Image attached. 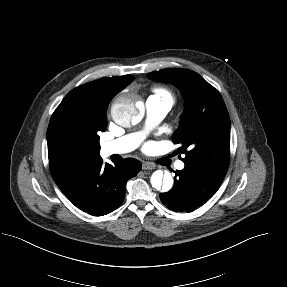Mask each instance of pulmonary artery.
<instances>
[{"label":"pulmonary artery","mask_w":287,"mask_h":287,"mask_svg":"<svg viewBox=\"0 0 287 287\" xmlns=\"http://www.w3.org/2000/svg\"><path fill=\"white\" fill-rule=\"evenodd\" d=\"M173 103L167 99L150 96L146 101V127L144 131L131 133L102 145V152L109 156L112 154H124L133 151L144 139L146 131L157 125L171 110ZM176 168H184L182 161L177 162Z\"/></svg>","instance_id":"obj_1"}]
</instances>
